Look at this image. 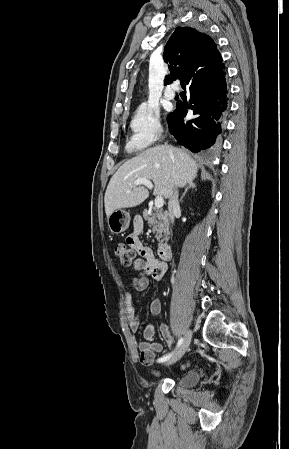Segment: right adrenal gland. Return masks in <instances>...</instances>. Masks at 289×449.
<instances>
[{
    "label": "right adrenal gland",
    "mask_w": 289,
    "mask_h": 449,
    "mask_svg": "<svg viewBox=\"0 0 289 449\" xmlns=\"http://www.w3.org/2000/svg\"><path fill=\"white\" fill-rule=\"evenodd\" d=\"M193 188H196V184L193 181H189L187 183V186H186V188H185V190H184V192H183L179 202H182V200H183L184 196L186 195V193L188 192V190L189 189H193Z\"/></svg>",
    "instance_id": "right-adrenal-gland-1"
}]
</instances>
